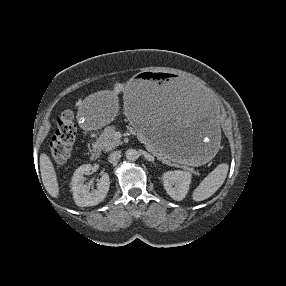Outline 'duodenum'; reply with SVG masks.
<instances>
[{
  "label": "duodenum",
  "mask_w": 286,
  "mask_h": 286,
  "mask_svg": "<svg viewBox=\"0 0 286 286\" xmlns=\"http://www.w3.org/2000/svg\"><path fill=\"white\" fill-rule=\"evenodd\" d=\"M90 156L92 159H97L99 157V150L98 148H94L90 152Z\"/></svg>",
  "instance_id": "410a0bca"
}]
</instances>
